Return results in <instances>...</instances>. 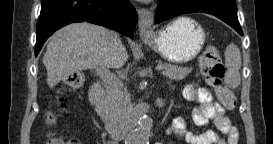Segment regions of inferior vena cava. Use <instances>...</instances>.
I'll return each mask as SVG.
<instances>
[{
	"mask_svg": "<svg viewBox=\"0 0 273 144\" xmlns=\"http://www.w3.org/2000/svg\"><path fill=\"white\" fill-rule=\"evenodd\" d=\"M110 37H111V49L112 51H117L119 47V37L118 34L114 31L110 32Z\"/></svg>",
	"mask_w": 273,
	"mask_h": 144,
	"instance_id": "1",
	"label": "inferior vena cava"
}]
</instances>
